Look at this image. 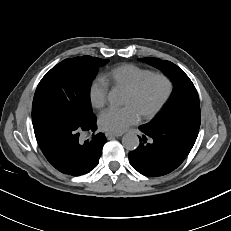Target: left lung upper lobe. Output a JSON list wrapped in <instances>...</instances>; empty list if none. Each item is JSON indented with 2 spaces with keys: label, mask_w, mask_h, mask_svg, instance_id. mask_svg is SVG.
I'll return each mask as SVG.
<instances>
[{
  "label": "left lung upper lobe",
  "mask_w": 231,
  "mask_h": 231,
  "mask_svg": "<svg viewBox=\"0 0 231 231\" xmlns=\"http://www.w3.org/2000/svg\"><path fill=\"white\" fill-rule=\"evenodd\" d=\"M140 60L162 70L174 83L172 96L164 111L157 119L146 125L199 131L201 122L199 97L190 78L170 61L158 58Z\"/></svg>",
  "instance_id": "obj_1"
}]
</instances>
